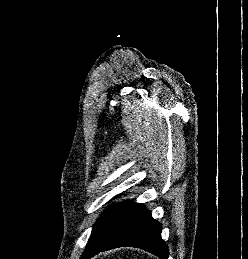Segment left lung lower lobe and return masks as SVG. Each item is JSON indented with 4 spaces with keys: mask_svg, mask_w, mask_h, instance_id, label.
I'll return each mask as SVG.
<instances>
[{
    "mask_svg": "<svg viewBox=\"0 0 248 259\" xmlns=\"http://www.w3.org/2000/svg\"><path fill=\"white\" fill-rule=\"evenodd\" d=\"M131 246L168 259L161 239V225L143 204L132 202L104 223L90 238L80 259H90L100 251Z\"/></svg>",
    "mask_w": 248,
    "mask_h": 259,
    "instance_id": "left-lung-lower-lobe-1",
    "label": "left lung lower lobe"
}]
</instances>
